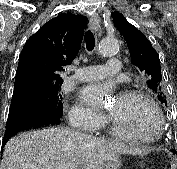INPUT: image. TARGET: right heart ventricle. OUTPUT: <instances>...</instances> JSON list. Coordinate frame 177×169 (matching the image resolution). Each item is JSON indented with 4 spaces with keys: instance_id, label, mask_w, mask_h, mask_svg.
<instances>
[{
    "instance_id": "e07e8e85",
    "label": "right heart ventricle",
    "mask_w": 177,
    "mask_h": 169,
    "mask_svg": "<svg viewBox=\"0 0 177 169\" xmlns=\"http://www.w3.org/2000/svg\"><path fill=\"white\" fill-rule=\"evenodd\" d=\"M109 133L111 136L113 137H122L119 133H117L113 128H110L109 129ZM143 142H146V141H143Z\"/></svg>"
}]
</instances>
